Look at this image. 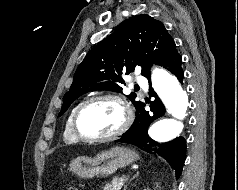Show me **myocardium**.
<instances>
[{
	"instance_id": "1",
	"label": "myocardium",
	"mask_w": 238,
	"mask_h": 190,
	"mask_svg": "<svg viewBox=\"0 0 238 190\" xmlns=\"http://www.w3.org/2000/svg\"><path fill=\"white\" fill-rule=\"evenodd\" d=\"M102 100H111L116 102L122 109L123 111V122L120 125L118 129H116L114 132L108 135L104 136H87L84 135L79 128V117L82 113V111L90 104L96 102V101H102ZM133 121V112L132 109L129 105V103L126 101V99L115 93H105V94H99L92 96L82 103L79 104V106L76 108L73 118H72V128L73 132L76 135L78 139L84 142H90V143H97V142H105V141H110L113 139H116L117 137L121 136L123 133H125L130 125L132 124Z\"/></svg>"
}]
</instances>
